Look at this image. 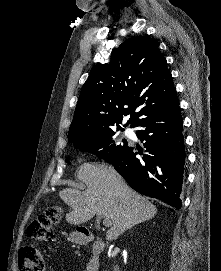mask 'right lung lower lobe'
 Listing matches in <instances>:
<instances>
[{"mask_svg":"<svg viewBox=\"0 0 221 271\" xmlns=\"http://www.w3.org/2000/svg\"><path fill=\"white\" fill-rule=\"evenodd\" d=\"M134 127L144 128L136 134L146 141L143 145L149 154L137 158L129 146L112 163L114 168L137 192L180 209L185 147L179 102L142 118Z\"/></svg>","mask_w":221,"mask_h":271,"instance_id":"1","label":"right lung lower lobe"}]
</instances>
